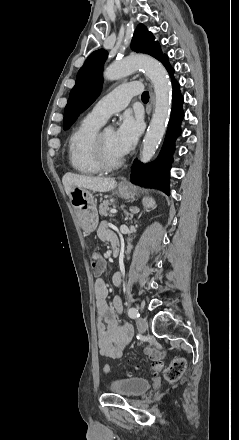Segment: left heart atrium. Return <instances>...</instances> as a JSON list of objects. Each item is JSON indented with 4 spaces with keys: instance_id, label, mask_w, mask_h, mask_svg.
<instances>
[{
    "instance_id": "left-heart-atrium-1",
    "label": "left heart atrium",
    "mask_w": 239,
    "mask_h": 440,
    "mask_svg": "<svg viewBox=\"0 0 239 440\" xmlns=\"http://www.w3.org/2000/svg\"><path fill=\"white\" fill-rule=\"evenodd\" d=\"M142 130V121L130 112H125L119 119L114 132V143L120 155L127 154L135 145Z\"/></svg>"
}]
</instances>
